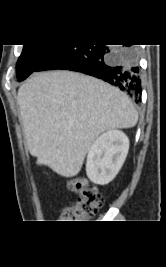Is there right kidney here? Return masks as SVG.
<instances>
[{"instance_id": "right-kidney-1", "label": "right kidney", "mask_w": 166, "mask_h": 267, "mask_svg": "<svg viewBox=\"0 0 166 267\" xmlns=\"http://www.w3.org/2000/svg\"><path fill=\"white\" fill-rule=\"evenodd\" d=\"M129 150L128 137L119 130H109L99 136L89 149L86 173L96 184L112 181L121 169Z\"/></svg>"}]
</instances>
